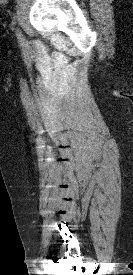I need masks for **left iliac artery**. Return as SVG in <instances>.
<instances>
[{"mask_svg": "<svg viewBox=\"0 0 133 275\" xmlns=\"http://www.w3.org/2000/svg\"><path fill=\"white\" fill-rule=\"evenodd\" d=\"M15 24H16V18H14L12 21V25H15ZM17 37L19 39V42L24 43L25 39L23 38L21 31H19V30L17 31Z\"/></svg>", "mask_w": 133, "mask_h": 275, "instance_id": "obj_1", "label": "left iliac artery"}]
</instances>
